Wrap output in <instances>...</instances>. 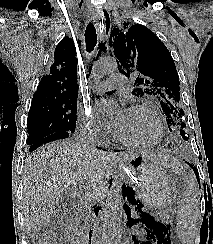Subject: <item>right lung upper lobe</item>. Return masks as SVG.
Here are the masks:
<instances>
[{"label":"right lung upper lobe","mask_w":213,"mask_h":244,"mask_svg":"<svg viewBox=\"0 0 213 244\" xmlns=\"http://www.w3.org/2000/svg\"><path fill=\"white\" fill-rule=\"evenodd\" d=\"M77 59L74 42L65 36L56 46L50 73L39 82L33 99L42 97H77Z\"/></svg>","instance_id":"right-lung-upper-lobe-1"}]
</instances>
